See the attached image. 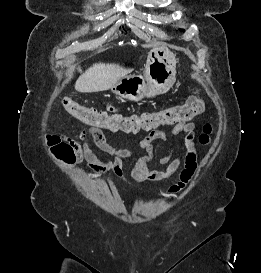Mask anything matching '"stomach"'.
Segmentation results:
<instances>
[{
    "mask_svg": "<svg viewBox=\"0 0 261 273\" xmlns=\"http://www.w3.org/2000/svg\"><path fill=\"white\" fill-rule=\"evenodd\" d=\"M175 55L165 47L150 50L143 75H126L112 90L124 99L140 101L169 91L176 78Z\"/></svg>",
    "mask_w": 261,
    "mask_h": 273,
    "instance_id": "1",
    "label": "stomach"
}]
</instances>
